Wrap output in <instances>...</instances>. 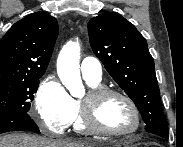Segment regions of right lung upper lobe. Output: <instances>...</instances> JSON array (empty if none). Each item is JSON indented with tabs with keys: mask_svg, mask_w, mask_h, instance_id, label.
<instances>
[{
	"mask_svg": "<svg viewBox=\"0 0 183 147\" xmlns=\"http://www.w3.org/2000/svg\"><path fill=\"white\" fill-rule=\"evenodd\" d=\"M58 30L57 20L43 12L15 23L0 41V82L42 77Z\"/></svg>",
	"mask_w": 183,
	"mask_h": 147,
	"instance_id": "cb5924a9",
	"label": "right lung upper lobe"
}]
</instances>
